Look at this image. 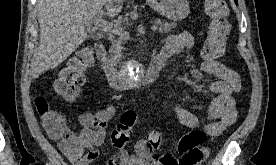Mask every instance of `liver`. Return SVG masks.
Here are the masks:
<instances>
[{
    "label": "liver",
    "instance_id": "obj_1",
    "mask_svg": "<svg viewBox=\"0 0 276 165\" xmlns=\"http://www.w3.org/2000/svg\"><path fill=\"white\" fill-rule=\"evenodd\" d=\"M124 0H38L39 46L31 62L33 78L56 68L88 37L87 23L98 14L117 16Z\"/></svg>",
    "mask_w": 276,
    "mask_h": 165
}]
</instances>
